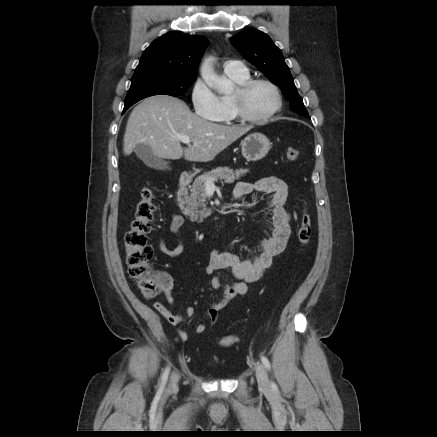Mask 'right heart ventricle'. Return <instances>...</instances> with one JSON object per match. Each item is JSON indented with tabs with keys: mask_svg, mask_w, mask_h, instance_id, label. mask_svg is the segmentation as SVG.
<instances>
[{
	"mask_svg": "<svg viewBox=\"0 0 437 437\" xmlns=\"http://www.w3.org/2000/svg\"><path fill=\"white\" fill-rule=\"evenodd\" d=\"M228 76L237 85H241L250 79L248 72H246L244 74L228 75ZM220 101L222 104V114L216 121H218L220 123H224V124H231L233 122H236L238 120V117H237L235 110H234L232 95H223L220 97Z\"/></svg>",
	"mask_w": 437,
	"mask_h": 437,
	"instance_id": "e07e8e85",
	"label": "right heart ventricle"
}]
</instances>
